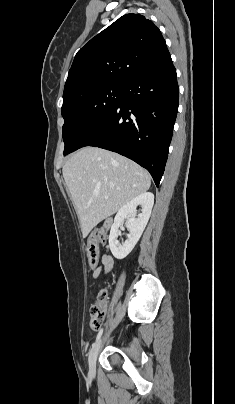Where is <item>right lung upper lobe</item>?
Masks as SVG:
<instances>
[{"mask_svg": "<svg viewBox=\"0 0 235 404\" xmlns=\"http://www.w3.org/2000/svg\"><path fill=\"white\" fill-rule=\"evenodd\" d=\"M169 56L152 21L140 14H126L77 52L65 83L63 104L104 85L124 84Z\"/></svg>", "mask_w": 235, "mask_h": 404, "instance_id": "obj_1", "label": "right lung upper lobe"}]
</instances>
